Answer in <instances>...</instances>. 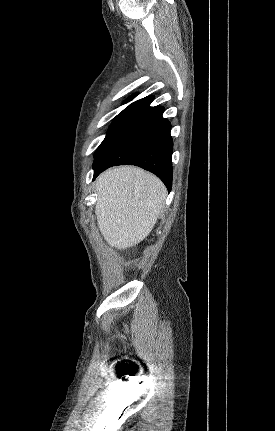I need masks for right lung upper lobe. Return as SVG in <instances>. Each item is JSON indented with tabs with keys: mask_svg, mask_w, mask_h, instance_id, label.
Instances as JSON below:
<instances>
[{
	"mask_svg": "<svg viewBox=\"0 0 275 431\" xmlns=\"http://www.w3.org/2000/svg\"><path fill=\"white\" fill-rule=\"evenodd\" d=\"M134 97H135V95L129 97L125 101V103L131 101ZM153 99H154L153 96H147L145 98L137 100V101L133 102L132 104H130L128 107H126L122 112H129V113L136 114L140 110H142V109L146 108L147 106H149L151 104V102L153 101Z\"/></svg>",
	"mask_w": 275,
	"mask_h": 431,
	"instance_id": "right-lung-upper-lobe-1",
	"label": "right lung upper lobe"
}]
</instances>
